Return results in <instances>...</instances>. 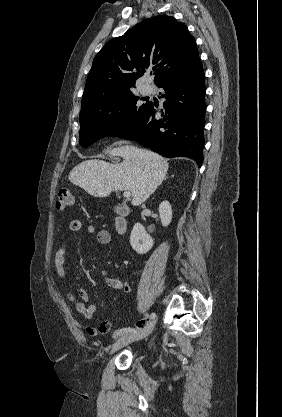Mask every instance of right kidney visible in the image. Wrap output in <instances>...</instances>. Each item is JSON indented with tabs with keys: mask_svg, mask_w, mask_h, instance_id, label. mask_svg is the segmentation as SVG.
Listing matches in <instances>:
<instances>
[{
	"mask_svg": "<svg viewBox=\"0 0 282 417\" xmlns=\"http://www.w3.org/2000/svg\"><path fill=\"white\" fill-rule=\"evenodd\" d=\"M159 215L163 227H168L172 221V209L169 200L160 202ZM130 245L138 255H145V253H148L152 249L154 241L150 235H147L141 223H135L130 235Z\"/></svg>",
	"mask_w": 282,
	"mask_h": 417,
	"instance_id": "obj_1",
	"label": "right kidney"
}]
</instances>
